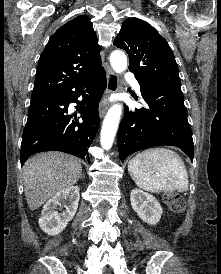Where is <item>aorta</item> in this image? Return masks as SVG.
I'll return each instance as SVG.
<instances>
[{"label": "aorta", "mask_w": 221, "mask_h": 274, "mask_svg": "<svg viewBox=\"0 0 221 274\" xmlns=\"http://www.w3.org/2000/svg\"><path fill=\"white\" fill-rule=\"evenodd\" d=\"M110 63L115 72L122 73L127 68V57L123 51L115 50L110 55ZM121 113L122 106L120 104H115L108 110L104 118L100 142L102 148L105 150H109L112 147Z\"/></svg>", "instance_id": "obj_1"}]
</instances>
